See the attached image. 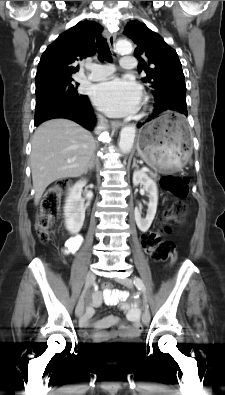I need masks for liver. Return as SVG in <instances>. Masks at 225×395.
Instances as JSON below:
<instances>
[{"instance_id": "liver-1", "label": "liver", "mask_w": 225, "mask_h": 395, "mask_svg": "<svg viewBox=\"0 0 225 395\" xmlns=\"http://www.w3.org/2000/svg\"><path fill=\"white\" fill-rule=\"evenodd\" d=\"M94 149L92 134L76 122L60 118L42 123L30 155L35 205L52 182L85 173Z\"/></svg>"}]
</instances>
